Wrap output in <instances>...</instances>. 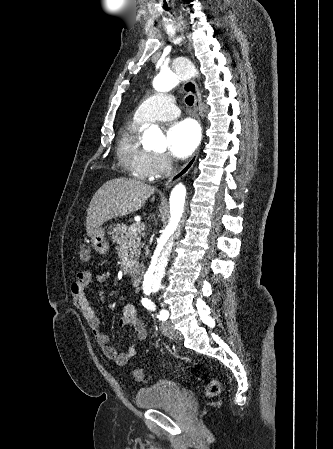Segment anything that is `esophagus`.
<instances>
[{"instance_id": "obj_1", "label": "esophagus", "mask_w": 333, "mask_h": 449, "mask_svg": "<svg viewBox=\"0 0 333 449\" xmlns=\"http://www.w3.org/2000/svg\"><path fill=\"white\" fill-rule=\"evenodd\" d=\"M184 90L187 93H191L194 97V104L196 106V109L201 117H203V111H202V100H201V93L199 91V88L197 86V83L194 80H188L184 84ZM199 155V150L195 152V154L191 157V159L173 176H171L168 181L166 182V186L172 185L176 181L183 178L193 167L195 164L197 158Z\"/></svg>"}]
</instances>
